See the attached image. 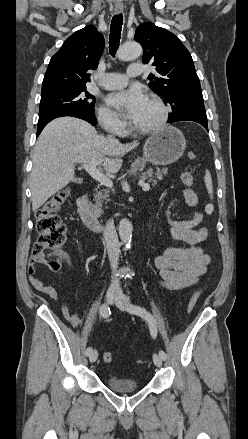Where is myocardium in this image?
Here are the masks:
<instances>
[{
    "label": "myocardium",
    "mask_w": 248,
    "mask_h": 439,
    "mask_svg": "<svg viewBox=\"0 0 248 439\" xmlns=\"http://www.w3.org/2000/svg\"><path fill=\"white\" fill-rule=\"evenodd\" d=\"M148 100L153 102L159 107L161 111V116L154 125L149 127H138L134 123H132L131 129L137 134L148 135L160 131L165 127L169 119V114H170L169 107L164 103V101L161 98L155 95H151L148 97Z\"/></svg>",
    "instance_id": "1"
}]
</instances>
